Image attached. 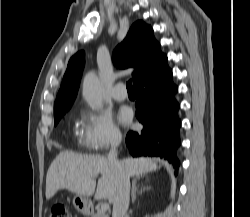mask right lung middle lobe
<instances>
[{"instance_id": "dd1d6c3e", "label": "right lung middle lobe", "mask_w": 250, "mask_h": 217, "mask_svg": "<svg viewBox=\"0 0 250 217\" xmlns=\"http://www.w3.org/2000/svg\"><path fill=\"white\" fill-rule=\"evenodd\" d=\"M64 114H65V112H60V113L54 115L55 125L59 122V120L63 117Z\"/></svg>"}]
</instances>
